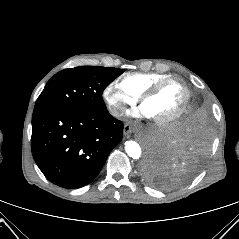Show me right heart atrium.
I'll list each match as a JSON object with an SVG mask.
<instances>
[{
  "label": "right heart atrium",
  "mask_w": 239,
  "mask_h": 239,
  "mask_svg": "<svg viewBox=\"0 0 239 239\" xmlns=\"http://www.w3.org/2000/svg\"><path fill=\"white\" fill-rule=\"evenodd\" d=\"M103 97L110 113L115 117L121 116L128 105L138 100L136 94L125 89L118 81H112L104 88Z\"/></svg>",
  "instance_id": "obj_1"
}]
</instances>
